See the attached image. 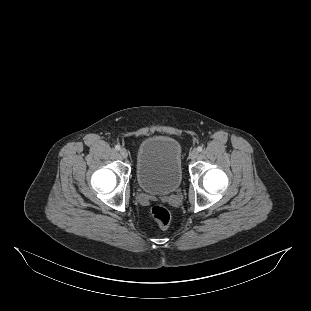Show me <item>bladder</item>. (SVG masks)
Listing matches in <instances>:
<instances>
[{
    "mask_svg": "<svg viewBox=\"0 0 311 311\" xmlns=\"http://www.w3.org/2000/svg\"><path fill=\"white\" fill-rule=\"evenodd\" d=\"M135 176L145 193L168 195L176 192L183 180L180 143L168 135L144 139L137 151Z\"/></svg>",
    "mask_w": 311,
    "mask_h": 311,
    "instance_id": "31cf9c89",
    "label": "bladder"
}]
</instances>
